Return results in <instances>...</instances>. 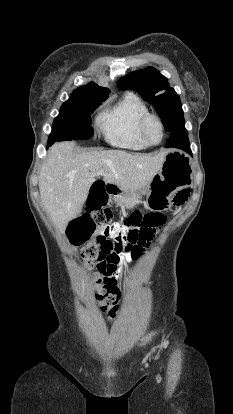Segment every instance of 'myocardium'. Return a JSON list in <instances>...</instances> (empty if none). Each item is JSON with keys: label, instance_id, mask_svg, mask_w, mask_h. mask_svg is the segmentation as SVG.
<instances>
[{"label": "myocardium", "instance_id": "1", "mask_svg": "<svg viewBox=\"0 0 233 414\" xmlns=\"http://www.w3.org/2000/svg\"><path fill=\"white\" fill-rule=\"evenodd\" d=\"M151 121H155L158 124L159 128H160L161 136H160V139L157 142H153L150 139L149 135H148L147 128H148V124ZM140 132L142 134V137L144 138V140L147 143H149L150 145H156V144L160 143L163 140L164 134H165V127H164V124H163L161 118L158 115L153 114V113H148L142 118V120L140 122Z\"/></svg>", "mask_w": 233, "mask_h": 414}]
</instances>
